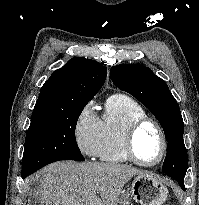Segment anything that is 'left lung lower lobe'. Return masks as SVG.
I'll return each instance as SVG.
<instances>
[{"label":"left lung lower lobe","instance_id":"0a47b994","mask_svg":"<svg viewBox=\"0 0 199 205\" xmlns=\"http://www.w3.org/2000/svg\"><path fill=\"white\" fill-rule=\"evenodd\" d=\"M178 183L180 184L181 188H182L183 190H185L184 182L181 181V180H179Z\"/></svg>","mask_w":199,"mask_h":205}]
</instances>
